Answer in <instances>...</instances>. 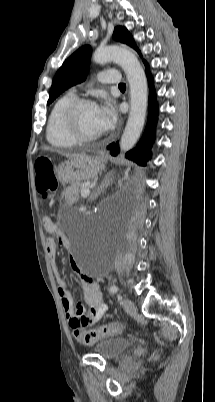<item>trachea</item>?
I'll return each instance as SVG.
<instances>
[{
    "label": "trachea",
    "mask_w": 215,
    "mask_h": 402,
    "mask_svg": "<svg viewBox=\"0 0 215 402\" xmlns=\"http://www.w3.org/2000/svg\"><path fill=\"white\" fill-rule=\"evenodd\" d=\"M119 88H126V85L124 83H120Z\"/></svg>",
    "instance_id": "1"
}]
</instances>
